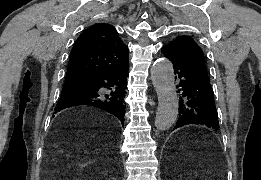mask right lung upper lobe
I'll return each mask as SVG.
<instances>
[{
	"instance_id": "1",
	"label": "right lung upper lobe",
	"mask_w": 261,
	"mask_h": 180,
	"mask_svg": "<svg viewBox=\"0 0 261 180\" xmlns=\"http://www.w3.org/2000/svg\"><path fill=\"white\" fill-rule=\"evenodd\" d=\"M128 64V47L116 29L99 23L87 28L73 46L65 82H89L98 73Z\"/></svg>"
}]
</instances>
